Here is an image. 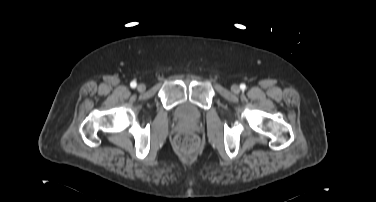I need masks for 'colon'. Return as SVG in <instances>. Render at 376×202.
I'll list each match as a JSON object with an SVG mask.
<instances>
[{
	"label": "colon",
	"instance_id": "5ec220e1",
	"mask_svg": "<svg viewBox=\"0 0 376 202\" xmlns=\"http://www.w3.org/2000/svg\"><path fill=\"white\" fill-rule=\"evenodd\" d=\"M198 144V138L188 132H179L175 137L176 147L185 152L194 151L197 148Z\"/></svg>",
	"mask_w": 376,
	"mask_h": 202
}]
</instances>
